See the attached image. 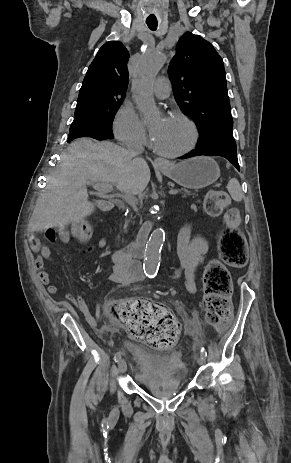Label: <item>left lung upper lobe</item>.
I'll return each mask as SVG.
<instances>
[{"label": "left lung upper lobe", "instance_id": "left-lung-upper-lobe-1", "mask_svg": "<svg viewBox=\"0 0 291 463\" xmlns=\"http://www.w3.org/2000/svg\"><path fill=\"white\" fill-rule=\"evenodd\" d=\"M168 73L176 102L197 125L198 145L236 150L224 64L213 45L185 33Z\"/></svg>", "mask_w": 291, "mask_h": 463}]
</instances>
